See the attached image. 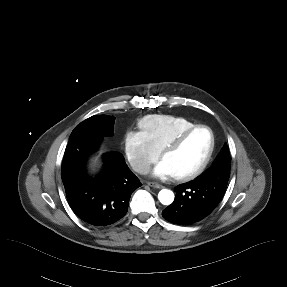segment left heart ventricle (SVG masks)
Here are the masks:
<instances>
[{
	"label": "left heart ventricle",
	"mask_w": 287,
	"mask_h": 287,
	"mask_svg": "<svg viewBox=\"0 0 287 287\" xmlns=\"http://www.w3.org/2000/svg\"><path fill=\"white\" fill-rule=\"evenodd\" d=\"M210 142L209 132L198 129L177 150L165 155L162 161L168 167L171 176L187 174L196 169L206 157Z\"/></svg>",
	"instance_id": "b2bd125f"
}]
</instances>
